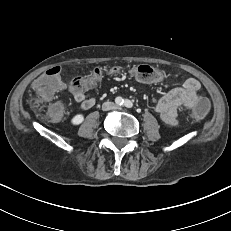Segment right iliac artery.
Returning <instances> with one entry per match:
<instances>
[{"label": "right iliac artery", "instance_id": "1", "mask_svg": "<svg viewBox=\"0 0 231 231\" xmlns=\"http://www.w3.org/2000/svg\"><path fill=\"white\" fill-rule=\"evenodd\" d=\"M123 102H124V100H123L121 97H117V98H116V103H117L118 105H122Z\"/></svg>", "mask_w": 231, "mask_h": 231}]
</instances>
